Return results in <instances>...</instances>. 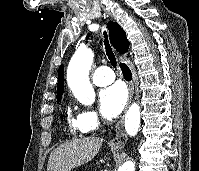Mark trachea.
Segmentation results:
<instances>
[{"label": "trachea", "mask_w": 199, "mask_h": 171, "mask_svg": "<svg viewBox=\"0 0 199 171\" xmlns=\"http://www.w3.org/2000/svg\"><path fill=\"white\" fill-rule=\"evenodd\" d=\"M104 45H105V50H106V54L110 60L111 65L116 68L117 67V60H116V56L109 44L108 41V37H107V33L104 31Z\"/></svg>", "instance_id": "obj_1"}]
</instances>
